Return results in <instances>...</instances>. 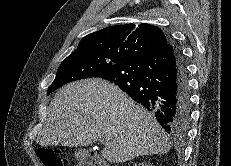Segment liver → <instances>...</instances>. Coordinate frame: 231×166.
Returning <instances> with one entry per match:
<instances>
[{
    "label": "liver",
    "mask_w": 231,
    "mask_h": 166,
    "mask_svg": "<svg viewBox=\"0 0 231 166\" xmlns=\"http://www.w3.org/2000/svg\"><path fill=\"white\" fill-rule=\"evenodd\" d=\"M99 139L109 140L101 155L111 163L166 154L171 147L155 117L114 84L93 78L62 87L50 103L36 142L71 147Z\"/></svg>",
    "instance_id": "1"
}]
</instances>
